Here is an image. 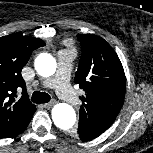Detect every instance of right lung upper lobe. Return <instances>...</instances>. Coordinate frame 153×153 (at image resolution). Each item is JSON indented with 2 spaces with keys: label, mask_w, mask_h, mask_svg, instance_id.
<instances>
[{
  "label": "right lung upper lobe",
  "mask_w": 153,
  "mask_h": 153,
  "mask_svg": "<svg viewBox=\"0 0 153 153\" xmlns=\"http://www.w3.org/2000/svg\"><path fill=\"white\" fill-rule=\"evenodd\" d=\"M44 45L41 39L16 33L0 37V138L13 134L36 110L29 101L21 70L32 51Z\"/></svg>",
  "instance_id": "right-lung-upper-lobe-1"
}]
</instances>
